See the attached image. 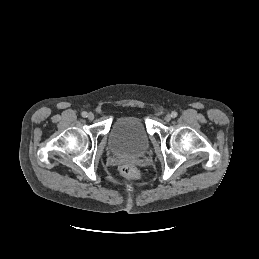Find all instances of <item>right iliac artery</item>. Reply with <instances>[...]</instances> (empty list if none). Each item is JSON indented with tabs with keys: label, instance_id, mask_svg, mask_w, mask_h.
<instances>
[{
	"label": "right iliac artery",
	"instance_id": "1",
	"mask_svg": "<svg viewBox=\"0 0 259 259\" xmlns=\"http://www.w3.org/2000/svg\"><path fill=\"white\" fill-rule=\"evenodd\" d=\"M83 117H87V112L86 111H83L82 114H81Z\"/></svg>",
	"mask_w": 259,
	"mask_h": 259
}]
</instances>
